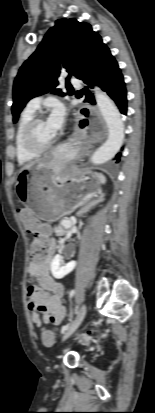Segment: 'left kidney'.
<instances>
[{
	"mask_svg": "<svg viewBox=\"0 0 155 413\" xmlns=\"http://www.w3.org/2000/svg\"><path fill=\"white\" fill-rule=\"evenodd\" d=\"M76 267V261H71L65 265H63L62 256L57 254L54 256L51 262V273L54 278L61 279L65 277L67 274L73 271Z\"/></svg>",
	"mask_w": 155,
	"mask_h": 413,
	"instance_id": "left-kidney-1",
	"label": "left kidney"
}]
</instances>
